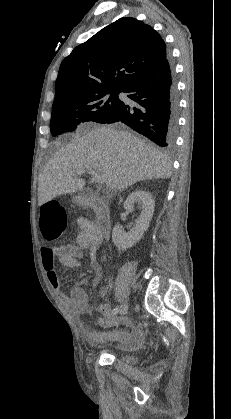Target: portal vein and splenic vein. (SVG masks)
I'll return each mask as SVG.
<instances>
[{
  "instance_id": "obj_1",
  "label": "portal vein and splenic vein",
  "mask_w": 231,
  "mask_h": 419,
  "mask_svg": "<svg viewBox=\"0 0 231 419\" xmlns=\"http://www.w3.org/2000/svg\"><path fill=\"white\" fill-rule=\"evenodd\" d=\"M85 172H86L85 170H77V171L74 173V175H78V176H79V175L84 174ZM87 172L93 176V178H94L95 182H97L98 184H102V183H104V182H105V180H106V176H105V175L100 174V173H98V172H97V171H95V170H88Z\"/></svg>"
}]
</instances>
